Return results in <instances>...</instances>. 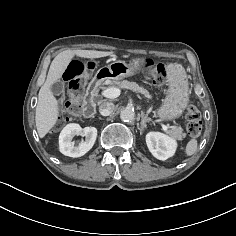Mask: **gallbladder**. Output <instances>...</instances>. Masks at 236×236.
<instances>
[{"mask_svg": "<svg viewBox=\"0 0 236 236\" xmlns=\"http://www.w3.org/2000/svg\"><path fill=\"white\" fill-rule=\"evenodd\" d=\"M50 90L54 95H60L64 91V84L58 80L50 86Z\"/></svg>", "mask_w": 236, "mask_h": 236, "instance_id": "obj_1", "label": "gallbladder"}]
</instances>
